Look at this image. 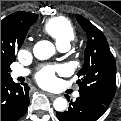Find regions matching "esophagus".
Returning a JSON list of instances; mask_svg holds the SVG:
<instances>
[{"label": "esophagus", "instance_id": "esophagus-1", "mask_svg": "<svg viewBox=\"0 0 121 121\" xmlns=\"http://www.w3.org/2000/svg\"><path fill=\"white\" fill-rule=\"evenodd\" d=\"M46 94L48 95V97H50V98H52V99H54V98L57 97L56 94H52V93H46Z\"/></svg>", "mask_w": 121, "mask_h": 121}]
</instances>
